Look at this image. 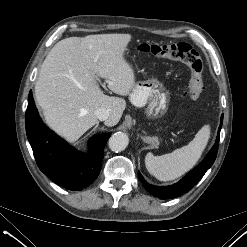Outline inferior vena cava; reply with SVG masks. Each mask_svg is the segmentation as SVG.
Here are the masks:
<instances>
[{
    "label": "inferior vena cava",
    "instance_id": "602c4592",
    "mask_svg": "<svg viewBox=\"0 0 247 247\" xmlns=\"http://www.w3.org/2000/svg\"><path fill=\"white\" fill-rule=\"evenodd\" d=\"M95 116L100 120V121H106L108 120L110 116L109 110L106 108H99L95 111Z\"/></svg>",
    "mask_w": 247,
    "mask_h": 247
}]
</instances>
